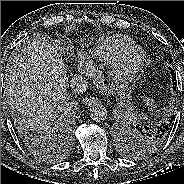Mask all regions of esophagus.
<instances>
[{"label": "esophagus", "instance_id": "34e87169", "mask_svg": "<svg viewBox=\"0 0 184 184\" xmlns=\"http://www.w3.org/2000/svg\"><path fill=\"white\" fill-rule=\"evenodd\" d=\"M98 102V98L97 97H90L87 101H86V105L90 106L93 105L95 103Z\"/></svg>", "mask_w": 184, "mask_h": 184}]
</instances>
